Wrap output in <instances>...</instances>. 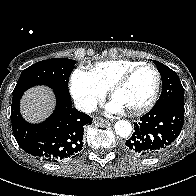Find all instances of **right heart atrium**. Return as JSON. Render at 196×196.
<instances>
[{
    "instance_id": "1",
    "label": "right heart atrium",
    "mask_w": 196,
    "mask_h": 196,
    "mask_svg": "<svg viewBox=\"0 0 196 196\" xmlns=\"http://www.w3.org/2000/svg\"><path fill=\"white\" fill-rule=\"evenodd\" d=\"M70 91L78 107L85 112L93 111L106 96V90L82 68L73 72Z\"/></svg>"
}]
</instances>
